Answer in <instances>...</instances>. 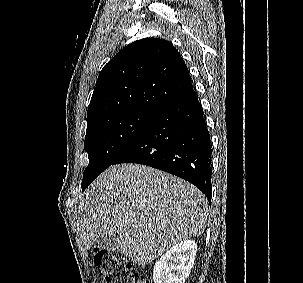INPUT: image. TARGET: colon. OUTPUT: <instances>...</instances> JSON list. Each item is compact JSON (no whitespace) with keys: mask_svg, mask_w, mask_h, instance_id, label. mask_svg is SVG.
Segmentation results:
<instances>
[{"mask_svg":"<svg viewBox=\"0 0 303 283\" xmlns=\"http://www.w3.org/2000/svg\"><path fill=\"white\" fill-rule=\"evenodd\" d=\"M93 262L107 283H149L131 262L106 248H94Z\"/></svg>","mask_w":303,"mask_h":283,"instance_id":"obj_1","label":"colon"}]
</instances>
